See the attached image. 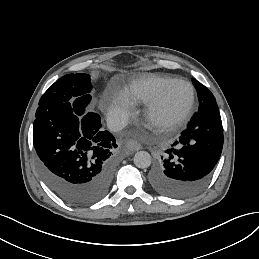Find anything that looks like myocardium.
I'll return each mask as SVG.
<instances>
[{
  "instance_id": "myocardium-1",
  "label": "myocardium",
  "mask_w": 259,
  "mask_h": 259,
  "mask_svg": "<svg viewBox=\"0 0 259 259\" xmlns=\"http://www.w3.org/2000/svg\"><path fill=\"white\" fill-rule=\"evenodd\" d=\"M184 82L188 85L191 96L190 100L187 103V105L179 111L174 116L166 119L164 123L162 124L163 128L167 131H175L178 129L181 124L189 117V115L194 110L195 104H196V89L191 81H189L186 78L180 77V76H172L171 78L165 80V83H172V82ZM159 109V105L155 100L152 99H145V115L148 117H152Z\"/></svg>"
}]
</instances>
